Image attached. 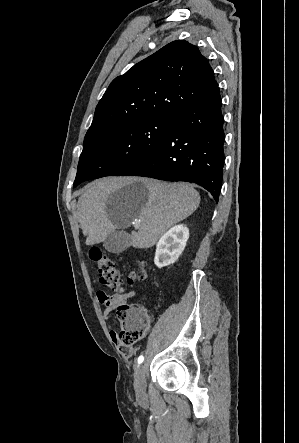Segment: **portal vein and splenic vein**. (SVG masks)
I'll return each mask as SVG.
<instances>
[{"label": "portal vein and splenic vein", "instance_id": "portal-vein-and-splenic-vein-1", "mask_svg": "<svg viewBox=\"0 0 299 443\" xmlns=\"http://www.w3.org/2000/svg\"><path fill=\"white\" fill-rule=\"evenodd\" d=\"M132 224L134 225L135 228H138L140 225V220L136 219L132 222Z\"/></svg>", "mask_w": 299, "mask_h": 443}]
</instances>
